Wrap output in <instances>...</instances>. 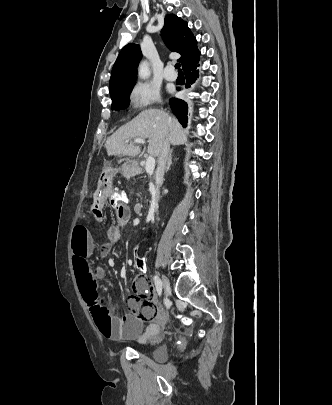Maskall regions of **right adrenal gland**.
Wrapping results in <instances>:
<instances>
[{
	"label": "right adrenal gland",
	"mask_w": 332,
	"mask_h": 405,
	"mask_svg": "<svg viewBox=\"0 0 332 405\" xmlns=\"http://www.w3.org/2000/svg\"><path fill=\"white\" fill-rule=\"evenodd\" d=\"M172 153H173V150H171V151L169 152L168 161H167V166H166V168H165V172H166V173L170 170V166H171V164H172Z\"/></svg>",
	"instance_id": "obj_1"
}]
</instances>
